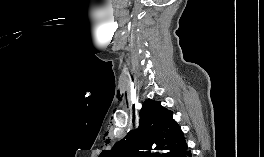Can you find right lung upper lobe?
Returning a JSON list of instances; mask_svg holds the SVG:
<instances>
[{
    "instance_id": "cb5924a9",
    "label": "right lung upper lobe",
    "mask_w": 264,
    "mask_h": 157,
    "mask_svg": "<svg viewBox=\"0 0 264 157\" xmlns=\"http://www.w3.org/2000/svg\"><path fill=\"white\" fill-rule=\"evenodd\" d=\"M140 125L118 141L111 150L99 157H154L149 151H164V155L184 139L180 126L173 119L172 111L161 106L160 101L147 100L140 111Z\"/></svg>"
}]
</instances>
